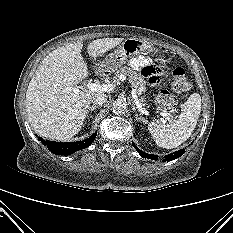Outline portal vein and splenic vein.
Instances as JSON below:
<instances>
[{
  "label": "portal vein and splenic vein",
  "mask_w": 233,
  "mask_h": 233,
  "mask_svg": "<svg viewBox=\"0 0 233 233\" xmlns=\"http://www.w3.org/2000/svg\"><path fill=\"white\" fill-rule=\"evenodd\" d=\"M119 80L120 81H124L126 80V76L121 75L119 76ZM116 86V83H111V84H98V83H88L87 84V88L91 91L94 92H110L112 91ZM68 90H74L75 92H77L79 89L77 87L75 88H67ZM132 96L134 99V103L136 104L137 108L139 109V111L142 114L148 115L149 112L142 106V104L139 102L137 93L135 89H132ZM160 115L162 117H164L167 120H170V117H172V115L170 113L167 112H161Z\"/></svg>",
  "instance_id": "18ae733b"
}]
</instances>
